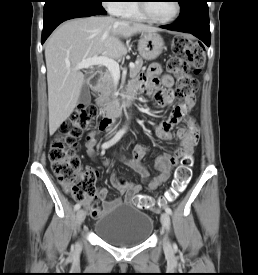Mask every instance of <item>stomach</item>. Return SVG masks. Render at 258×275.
Wrapping results in <instances>:
<instances>
[{"label":"stomach","instance_id":"obj_1","mask_svg":"<svg viewBox=\"0 0 258 275\" xmlns=\"http://www.w3.org/2000/svg\"><path fill=\"white\" fill-rule=\"evenodd\" d=\"M164 41L162 37L156 33H143L138 43V51L140 56L148 61L156 59L163 51Z\"/></svg>","mask_w":258,"mask_h":275}]
</instances>
